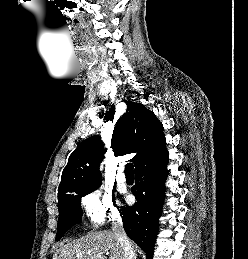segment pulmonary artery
<instances>
[{
  "label": "pulmonary artery",
  "instance_id": "1",
  "mask_svg": "<svg viewBox=\"0 0 248 259\" xmlns=\"http://www.w3.org/2000/svg\"><path fill=\"white\" fill-rule=\"evenodd\" d=\"M116 180L118 183H125L126 182V176L124 174V168L123 166H120L118 169V173L116 176Z\"/></svg>",
  "mask_w": 248,
  "mask_h": 259
}]
</instances>
